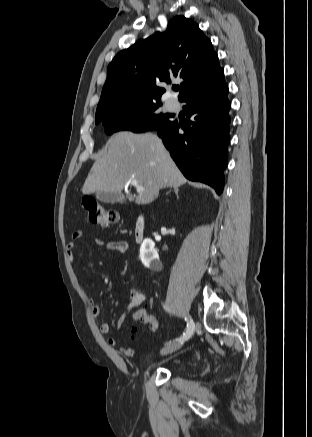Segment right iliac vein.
<instances>
[{"instance_id":"63e3f726","label":"right iliac vein","mask_w":312,"mask_h":437,"mask_svg":"<svg viewBox=\"0 0 312 437\" xmlns=\"http://www.w3.org/2000/svg\"><path fill=\"white\" fill-rule=\"evenodd\" d=\"M182 343H183L182 341L178 340V341H175V342H173L171 344L166 345L162 349L161 354L166 355V354H169V353H172V352L178 350L182 346Z\"/></svg>"}]
</instances>
